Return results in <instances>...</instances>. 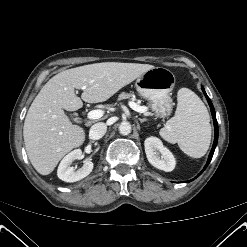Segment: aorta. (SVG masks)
<instances>
[{
  "label": "aorta",
  "mask_w": 247,
  "mask_h": 247,
  "mask_svg": "<svg viewBox=\"0 0 247 247\" xmlns=\"http://www.w3.org/2000/svg\"><path fill=\"white\" fill-rule=\"evenodd\" d=\"M131 124L127 121H123L120 125H119V132L122 135H128L131 133Z\"/></svg>",
  "instance_id": "obj_1"
}]
</instances>
